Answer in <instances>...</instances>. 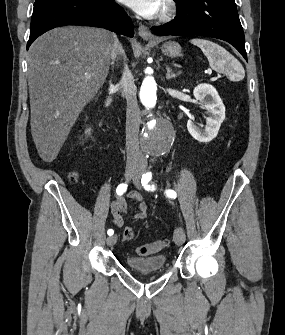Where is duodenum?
I'll return each instance as SVG.
<instances>
[{"instance_id": "duodenum-1", "label": "duodenum", "mask_w": 285, "mask_h": 335, "mask_svg": "<svg viewBox=\"0 0 285 335\" xmlns=\"http://www.w3.org/2000/svg\"><path fill=\"white\" fill-rule=\"evenodd\" d=\"M109 103H110V99H107V101H106L105 105H106V106H108V105H109Z\"/></svg>"}]
</instances>
